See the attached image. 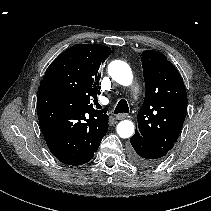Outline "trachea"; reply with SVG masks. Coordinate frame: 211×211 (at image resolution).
<instances>
[{
  "instance_id": "1",
  "label": "trachea",
  "mask_w": 211,
  "mask_h": 211,
  "mask_svg": "<svg viewBox=\"0 0 211 211\" xmlns=\"http://www.w3.org/2000/svg\"><path fill=\"white\" fill-rule=\"evenodd\" d=\"M96 108L97 109H101V105L97 102L95 103ZM129 112V107L127 104V101L124 99L119 100L115 110H114V114H118V113H128Z\"/></svg>"
}]
</instances>
